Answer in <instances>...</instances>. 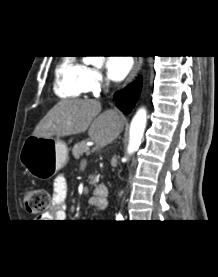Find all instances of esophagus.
<instances>
[{
  "instance_id": "esophagus-1",
  "label": "esophagus",
  "mask_w": 218,
  "mask_h": 277,
  "mask_svg": "<svg viewBox=\"0 0 218 277\" xmlns=\"http://www.w3.org/2000/svg\"><path fill=\"white\" fill-rule=\"evenodd\" d=\"M142 63H143L142 57H135V64H134L133 69L131 70L124 86H126L127 84L131 83L134 80V78L137 76L139 70L141 69Z\"/></svg>"
}]
</instances>
